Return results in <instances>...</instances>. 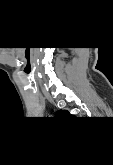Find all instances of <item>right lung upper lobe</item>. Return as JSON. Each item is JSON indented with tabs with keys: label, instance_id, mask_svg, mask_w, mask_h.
<instances>
[{
	"label": "right lung upper lobe",
	"instance_id": "right-lung-upper-lobe-1",
	"mask_svg": "<svg viewBox=\"0 0 113 165\" xmlns=\"http://www.w3.org/2000/svg\"><path fill=\"white\" fill-rule=\"evenodd\" d=\"M59 112L60 113H65V114H69L68 111H65V110L64 111L60 110Z\"/></svg>",
	"mask_w": 113,
	"mask_h": 165
}]
</instances>
